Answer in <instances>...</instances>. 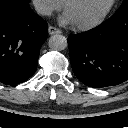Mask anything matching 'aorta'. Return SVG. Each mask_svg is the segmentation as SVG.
<instances>
[{
    "label": "aorta",
    "mask_w": 128,
    "mask_h": 128,
    "mask_svg": "<svg viewBox=\"0 0 128 128\" xmlns=\"http://www.w3.org/2000/svg\"><path fill=\"white\" fill-rule=\"evenodd\" d=\"M48 45L52 50L62 51L67 47V39L63 35L55 34L49 38Z\"/></svg>",
    "instance_id": "762f6f07"
}]
</instances>
